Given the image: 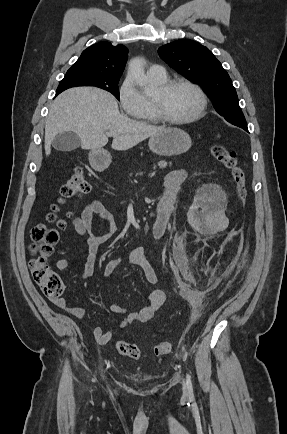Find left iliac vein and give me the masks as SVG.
Returning <instances> with one entry per match:
<instances>
[{
  "instance_id": "left-iliac-vein-1",
  "label": "left iliac vein",
  "mask_w": 287,
  "mask_h": 434,
  "mask_svg": "<svg viewBox=\"0 0 287 434\" xmlns=\"http://www.w3.org/2000/svg\"><path fill=\"white\" fill-rule=\"evenodd\" d=\"M183 392L184 394H187V385L184 381H183Z\"/></svg>"
}]
</instances>
